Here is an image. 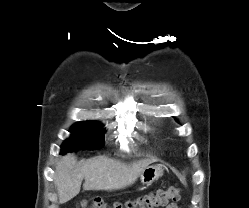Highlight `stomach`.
Masks as SVG:
<instances>
[{"label":"stomach","instance_id":"1","mask_svg":"<svg viewBox=\"0 0 249 208\" xmlns=\"http://www.w3.org/2000/svg\"><path fill=\"white\" fill-rule=\"evenodd\" d=\"M163 175V169L160 165L147 166L140 173V181L143 185H151L154 181L158 180Z\"/></svg>","mask_w":249,"mask_h":208}]
</instances>
